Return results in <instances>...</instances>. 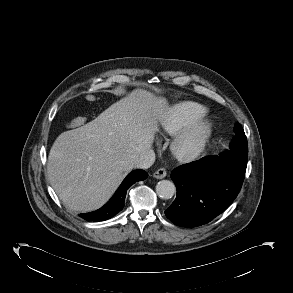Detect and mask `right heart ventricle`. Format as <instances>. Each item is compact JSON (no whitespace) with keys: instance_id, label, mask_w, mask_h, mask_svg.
Instances as JSON below:
<instances>
[{"instance_id":"1","label":"right heart ventricle","mask_w":293,"mask_h":293,"mask_svg":"<svg viewBox=\"0 0 293 293\" xmlns=\"http://www.w3.org/2000/svg\"><path fill=\"white\" fill-rule=\"evenodd\" d=\"M206 108L196 102L186 101L172 106L161 119V130L166 135H174L206 114Z\"/></svg>"}]
</instances>
